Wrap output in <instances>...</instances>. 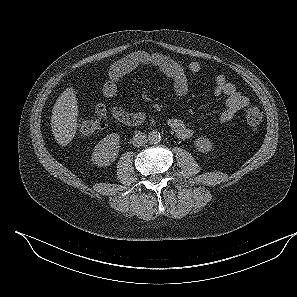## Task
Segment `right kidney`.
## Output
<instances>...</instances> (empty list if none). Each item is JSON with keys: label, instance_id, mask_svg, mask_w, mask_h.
I'll return each mask as SVG.
<instances>
[{"label": "right kidney", "instance_id": "ca27d5eb", "mask_svg": "<svg viewBox=\"0 0 297 297\" xmlns=\"http://www.w3.org/2000/svg\"><path fill=\"white\" fill-rule=\"evenodd\" d=\"M120 136L117 133L107 135L97 143L91 156L93 164L103 167L110 165L118 156Z\"/></svg>", "mask_w": 297, "mask_h": 297}]
</instances>
